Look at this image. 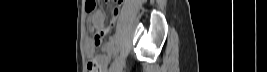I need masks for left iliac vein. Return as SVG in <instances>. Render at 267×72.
I'll return each instance as SVG.
<instances>
[{"label": "left iliac vein", "instance_id": "4c4485c4", "mask_svg": "<svg viewBox=\"0 0 267 72\" xmlns=\"http://www.w3.org/2000/svg\"><path fill=\"white\" fill-rule=\"evenodd\" d=\"M119 70H120V67L116 66L115 68L109 70V72H119Z\"/></svg>", "mask_w": 267, "mask_h": 72}]
</instances>
